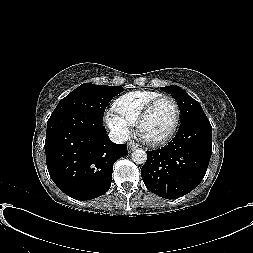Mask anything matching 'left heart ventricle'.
<instances>
[{"label":"left heart ventricle","instance_id":"obj_1","mask_svg":"<svg viewBox=\"0 0 253 253\" xmlns=\"http://www.w3.org/2000/svg\"><path fill=\"white\" fill-rule=\"evenodd\" d=\"M175 108L171 101L160 102L152 111L142 127V135L150 140H158L166 136L175 122Z\"/></svg>","mask_w":253,"mask_h":253}]
</instances>
